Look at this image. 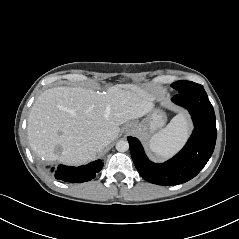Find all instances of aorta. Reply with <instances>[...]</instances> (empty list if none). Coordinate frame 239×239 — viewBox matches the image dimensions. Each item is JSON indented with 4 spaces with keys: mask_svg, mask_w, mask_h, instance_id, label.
Returning <instances> with one entry per match:
<instances>
[{
    "mask_svg": "<svg viewBox=\"0 0 239 239\" xmlns=\"http://www.w3.org/2000/svg\"><path fill=\"white\" fill-rule=\"evenodd\" d=\"M129 149V143L125 140H120L116 144V150L119 152H126Z\"/></svg>",
    "mask_w": 239,
    "mask_h": 239,
    "instance_id": "1",
    "label": "aorta"
}]
</instances>
